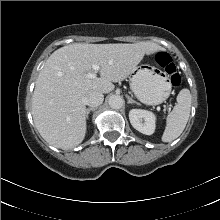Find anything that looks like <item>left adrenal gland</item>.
Segmentation results:
<instances>
[{"mask_svg":"<svg viewBox=\"0 0 220 220\" xmlns=\"http://www.w3.org/2000/svg\"><path fill=\"white\" fill-rule=\"evenodd\" d=\"M126 97H127V99H128V103H129V104L134 103V104L140 105V103L134 101L130 96L127 95Z\"/></svg>","mask_w":220,"mask_h":220,"instance_id":"1","label":"left adrenal gland"}]
</instances>
